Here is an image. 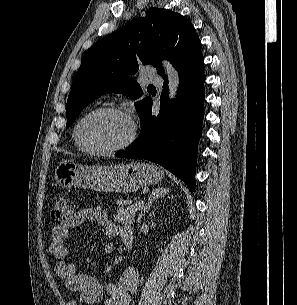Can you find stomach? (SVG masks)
I'll list each match as a JSON object with an SVG mask.
<instances>
[{
  "mask_svg": "<svg viewBox=\"0 0 297 305\" xmlns=\"http://www.w3.org/2000/svg\"><path fill=\"white\" fill-rule=\"evenodd\" d=\"M54 177L63 189L82 187L130 193L160 182L163 171L158 166L148 163L85 166L61 161L55 168Z\"/></svg>",
  "mask_w": 297,
  "mask_h": 305,
  "instance_id": "obj_1",
  "label": "stomach"
}]
</instances>
